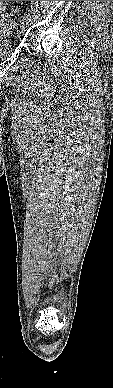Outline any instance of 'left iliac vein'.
<instances>
[{
  "instance_id": "obj_1",
  "label": "left iliac vein",
  "mask_w": 113,
  "mask_h": 388,
  "mask_svg": "<svg viewBox=\"0 0 113 388\" xmlns=\"http://www.w3.org/2000/svg\"><path fill=\"white\" fill-rule=\"evenodd\" d=\"M29 25V19L27 18H23L21 21H20V27L22 30H25Z\"/></svg>"
}]
</instances>
